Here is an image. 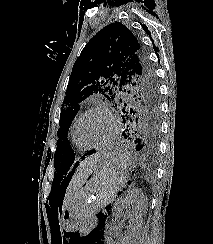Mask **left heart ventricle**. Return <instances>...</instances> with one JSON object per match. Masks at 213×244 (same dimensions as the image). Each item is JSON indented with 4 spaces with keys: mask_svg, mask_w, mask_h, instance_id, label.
<instances>
[{
    "mask_svg": "<svg viewBox=\"0 0 213 244\" xmlns=\"http://www.w3.org/2000/svg\"><path fill=\"white\" fill-rule=\"evenodd\" d=\"M111 122L103 112H91L79 123L77 133L86 144L95 145L102 143L111 133Z\"/></svg>",
    "mask_w": 213,
    "mask_h": 244,
    "instance_id": "b2bd125f",
    "label": "left heart ventricle"
}]
</instances>
